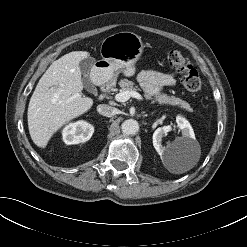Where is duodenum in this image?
Masks as SVG:
<instances>
[{
  "label": "duodenum",
  "mask_w": 247,
  "mask_h": 247,
  "mask_svg": "<svg viewBox=\"0 0 247 247\" xmlns=\"http://www.w3.org/2000/svg\"><path fill=\"white\" fill-rule=\"evenodd\" d=\"M107 91H108V88L107 87H103L102 96L106 95Z\"/></svg>",
  "instance_id": "410a0bca"
}]
</instances>
